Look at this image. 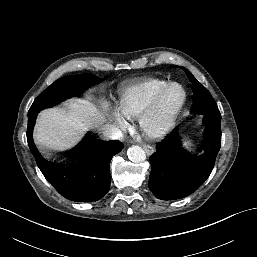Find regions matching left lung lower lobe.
I'll list each match as a JSON object with an SVG mask.
<instances>
[{
  "label": "left lung lower lobe",
  "mask_w": 257,
  "mask_h": 257,
  "mask_svg": "<svg viewBox=\"0 0 257 257\" xmlns=\"http://www.w3.org/2000/svg\"><path fill=\"white\" fill-rule=\"evenodd\" d=\"M221 116L204 121L205 142L197 151L182 148L178 131L174 129L156 147L150 157L149 188L162 200L186 197L197 190L211 174L221 147Z\"/></svg>",
  "instance_id": "1"
}]
</instances>
